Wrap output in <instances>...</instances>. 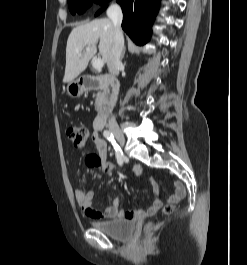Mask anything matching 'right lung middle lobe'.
<instances>
[{"label": "right lung middle lobe", "instance_id": "obj_1", "mask_svg": "<svg viewBox=\"0 0 247 265\" xmlns=\"http://www.w3.org/2000/svg\"><path fill=\"white\" fill-rule=\"evenodd\" d=\"M92 2L104 3L100 0H68L69 10L73 15L82 14L92 5Z\"/></svg>", "mask_w": 247, "mask_h": 265}]
</instances>
